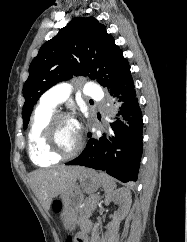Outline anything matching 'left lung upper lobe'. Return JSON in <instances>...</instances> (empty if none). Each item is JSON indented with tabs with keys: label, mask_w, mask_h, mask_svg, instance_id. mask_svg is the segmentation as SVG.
<instances>
[{
	"label": "left lung upper lobe",
	"mask_w": 187,
	"mask_h": 242,
	"mask_svg": "<svg viewBox=\"0 0 187 242\" xmlns=\"http://www.w3.org/2000/svg\"><path fill=\"white\" fill-rule=\"evenodd\" d=\"M130 74V65L106 27L94 17H75L40 48L23 87V122L40 96L58 82L89 76L110 90Z\"/></svg>",
	"instance_id": "left-lung-upper-lobe-1"
}]
</instances>
